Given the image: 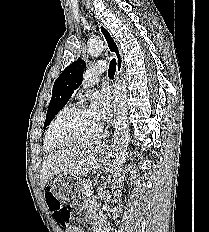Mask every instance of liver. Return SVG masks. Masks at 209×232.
Instances as JSON below:
<instances>
[{
	"mask_svg": "<svg viewBox=\"0 0 209 232\" xmlns=\"http://www.w3.org/2000/svg\"><path fill=\"white\" fill-rule=\"evenodd\" d=\"M99 153L100 143L92 141L79 143L49 155L41 168V189H44L48 180L55 175L82 176L92 169L96 173Z\"/></svg>",
	"mask_w": 209,
	"mask_h": 232,
	"instance_id": "1",
	"label": "liver"
}]
</instances>
